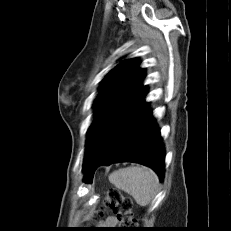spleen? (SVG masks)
<instances>
[{
    "mask_svg": "<svg viewBox=\"0 0 231 231\" xmlns=\"http://www.w3.org/2000/svg\"><path fill=\"white\" fill-rule=\"evenodd\" d=\"M109 181L130 194L140 206L150 204L159 186L156 173L144 166L119 169L109 175Z\"/></svg>",
    "mask_w": 231,
    "mask_h": 231,
    "instance_id": "1",
    "label": "spleen"
}]
</instances>
